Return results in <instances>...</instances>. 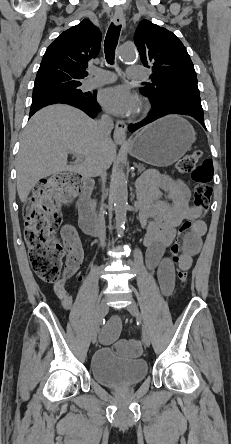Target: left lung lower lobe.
Masks as SVG:
<instances>
[{
    "label": "left lung lower lobe",
    "mask_w": 231,
    "mask_h": 444,
    "mask_svg": "<svg viewBox=\"0 0 231 444\" xmlns=\"http://www.w3.org/2000/svg\"><path fill=\"white\" fill-rule=\"evenodd\" d=\"M168 114H182L192 116L206 129L203 119V109L188 105H178L174 108H154L152 111H150L146 119L136 124H130L128 128L131 132H134L137 129L145 126L146 124H149L157 120L158 118H161Z\"/></svg>",
    "instance_id": "1"
}]
</instances>
